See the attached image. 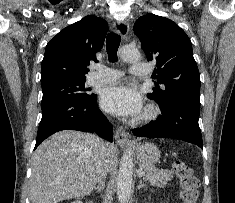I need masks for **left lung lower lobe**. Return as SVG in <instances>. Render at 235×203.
Instances as JSON below:
<instances>
[{"instance_id": "obj_1", "label": "left lung lower lobe", "mask_w": 235, "mask_h": 203, "mask_svg": "<svg viewBox=\"0 0 235 203\" xmlns=\"http://www.w3.org/2000/svg\"><path fill=\"white\" fill-rule=\"evenodd\" d=\"M162 116L150 124L133 130L138 137L172 138L193 143L203 148L198 124L200 101L193 98H179L161 107Z\"/></svg>"}]
</instances>
